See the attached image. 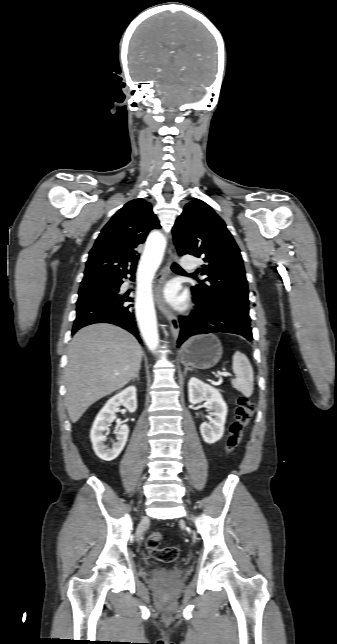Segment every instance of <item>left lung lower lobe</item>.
<instances>
[{"label":"left lung lower lobe","mask_w":337,"mask_h":644,"mask_svg":"<svg viewBox=\"0 0 337 644\" xmlns=\"http://www.w3.org/2000/svg\"><path fill=\"white\" fill-rule=\"evenodd\" d=\"M194 302L196 307L190 316L179 318L178 347L191 336L212 332L233 333L243 336L248 341L253 340L250 324L233 313L216 306H203L195 298Z\"/></svg>","instance_id":"0a47b994"}]
</instances>
